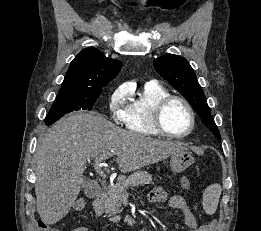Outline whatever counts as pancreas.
Here are the masks:
<instances>
[{"label": "pancreas", "mask_w": 261, "mask_h": 231, "mask_svg": "<svg viewBox=\"0 0 261 231\" xmlns=\"http://www.w3.org/2000/svg\"><path fill=\"white\" fill-rule=\"evenodd\" d=\"M152 175L147 171L139 170L132 173L127 178L120 176L118 182L107 190V198L105 200V212L111 216L110 221H120L119 213L122 197L127 195V190L138 185L151 184Z\"/></svg>", "instance_id": "obj_1"}]
</instances>
